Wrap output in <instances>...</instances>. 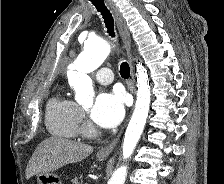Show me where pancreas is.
Returning <instances> with one entry per match:
<instances>
[{"mask_svg": "<svg viewBox=\"0 0 224 184\" xmlns=\"http://www.w3.org/2000/svg\"><path fill=\"white\" fill-rule=\"evenodd\" d=\"M72 184H80L79 181H78V178H74V179L72 180Z\"/></svg>", "mask_w": 224, "mask_h": 184, "instance_id": "1", "label": "pancreas"}]
</instances>
